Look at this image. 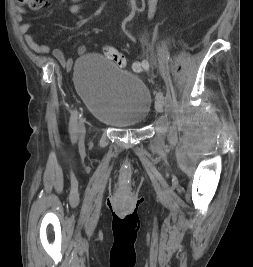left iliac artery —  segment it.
<instances>
[{"label": "left iliac artery", "mask_w": 253, "mask_h": 267, "mask_svg": "<svg viewBox=\"0 0 253 267\" xmlns=\"http://www.w3.org/2000/svg\"><path fill=\"white\" fill-rule=\"evenodd\" d=\"M157 100H161L162 103L164 102V96H163V94L161 92H158L156 94V101Z\"/></svg>", "instance_id": "obj_1"}]
</instances>
